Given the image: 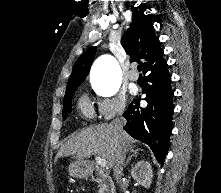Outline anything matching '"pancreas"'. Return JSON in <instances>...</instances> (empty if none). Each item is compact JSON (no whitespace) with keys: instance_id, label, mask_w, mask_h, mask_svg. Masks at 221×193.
<instances>
[{"instance_id":"pancreas-1","label":"pancreas","mask_w":221,"mask_h":193,"mask_svg":"<svg viewBox=\"0 0 221 193\" xmlns=\"http://www.w3.org/2000/svg\"><path fill=\"white\" fill-rule=\"evenodd\" d=\"M99 193H103V190L100 188Z\"/></svg>"}]
</instances>
